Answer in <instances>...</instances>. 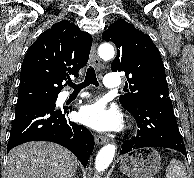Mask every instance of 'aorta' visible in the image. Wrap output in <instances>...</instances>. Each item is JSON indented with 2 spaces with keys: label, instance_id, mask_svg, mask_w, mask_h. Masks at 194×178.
<instances>
[{
  "label": "aorta",
  "instance_id": "1",
  "mask_svg": "<svg viewBox=\"0 0 194 178\" xmlns=\"http://www.w3.org/2000/svg\"><path fill=\"white\" fill-rule=\"evenodd\" d=\"M98 55L103 60H110L115 55L114 47L110 43H103L98 48ZM115 152V144H107L99 151L95 160V168L98 172H102L109 167Z\"/></svg>",
  "mask_w": 194,
  "mask_h": 178
}]
</instances>
